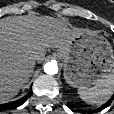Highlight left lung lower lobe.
Segmentation results:
<instances>
[{"label": "left lung lower lobe", "mask_w": 114, "mask_h": 114, "mask_svg": "<svg viewBox=\"0 0 114 114\" xmlns=\"http://www.w3.org/2000/svg\"><path fill=\"white\" fill-rule=\"evenodd\" d=\"M113 99H114V95L111 97V99L108 102H106L104 105H102L98 110L101 111L104 108L108 107L111 104V102L113 101ZM91 112H97V110H93Z\"/></svg>", "instance_id": "0a47b994"}]
</instances>
